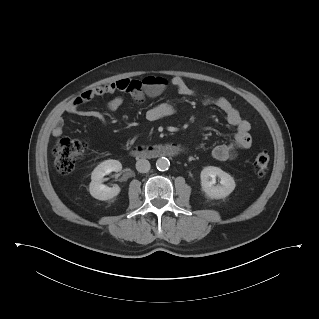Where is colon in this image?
I'll return each instance as SVG.
<instances>
[{"label":"colon","mask_w":319,"mask_h":319,"mask_svg":"<svg viewBox=\"0 0 319 319\" xmlns=\"http://www.w3.org/2000/svg\"><path fill=\"white\" fill-rule=\"evenodd\" d=\"M167 80L161 76H146L141 80H129L125 92L131 96L138 93L155 95L166 87ZM88 143L82 139L62 137L58 139L53 148L55 165L59 173L69 174L74 169L77 161L85 154ZM270 157L267 151L259 150L253 159V168L257 176L266 174Z\"/></svg>","instance_id":"5ec220e1"}]
</instances>
